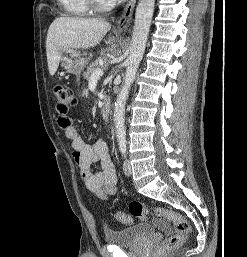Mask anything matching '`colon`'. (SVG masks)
<instances>
[{
  "mask_svg": "<svg viewBox=\"0 0 247 257\" xmlns=\"http://www.w3.org/2000/svg\"><path fill=\"white\" fill-rule=\"evenodd\" d=\"M54 94L56 111L62 118L63 124L67 125L69 124L68 113L77 103L76 97L73 91L65 85L55 86ZM150 213H153L159 219L169 220L174 227V233L161 243L160 251L168 253L178 248L191 231L187 219L178 212L162 207H150L140 201H132L129 204V213L117 212L115 218L123 224H130L133 217L145 220Z\"/></svg>",
  "mask_w": 247,
  "mask_h": 257,
  "instance_id": "5ec220e1",
  "label": "colon"
}]
</instances>
